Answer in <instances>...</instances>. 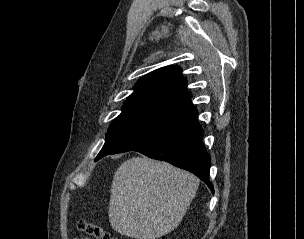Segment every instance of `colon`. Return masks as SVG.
I'll use <instances>...</instances> for the list:
<instances>
[{
    "instance_id": "obj_1",
    "label": "colon",
    "mask_w": 304,
    "mask_h": 239,
    "mask_svg": "<svg viewBox=\"0 0 304 239\" xmlns=\"http://www.w3.org/2000/svg\"><path fill=\"white\" fill-rule=\"evenodd\" d=\"M78 228L87 235L88 239H113L112 235L99 223L80 220Z\"/></svg>"
}]
</instances>
